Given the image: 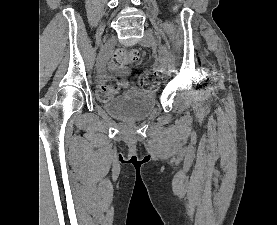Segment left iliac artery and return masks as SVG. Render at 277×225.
<instances>
[{"mask_svg":"<svg viewBox=\"0 0 277 225\" xmlns=\"http://www.w3.org/2000/svg\"><path fill=\"white\" fill-rule=\"evenodd\" d=\"M158 47H159V54H160V57H159V62H160V65H163L166 67H168V63H169V53L166 49L165 46H163L161 43H158Z\"/></svg>","mask_w":277,"mask_h":225,"instance_id":"44dca946","label":"left iliac artery"}]
</instances>
